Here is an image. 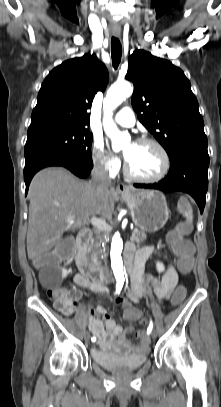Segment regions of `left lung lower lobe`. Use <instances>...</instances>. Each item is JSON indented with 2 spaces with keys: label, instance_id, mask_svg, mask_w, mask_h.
<instances>
[{
  "label": "left lung lower lobe",
  "instance_id": "obj_1",
  "mask_svg": "<svg viewBox=\"0 0 221 407\" xmlns=\"http://www.w3.org/2000/svg\"><path fill=\"white\" fill-rule=\"evenodd\" d=\"M169 158L170 170L163 180L154 184H134V186L161 191L186 192L195 199L202 213L208 189L207 141L184 143Z\"/></svg>",
  "mask_w": 221,
  "mask_h": 407
}]
</instances>
